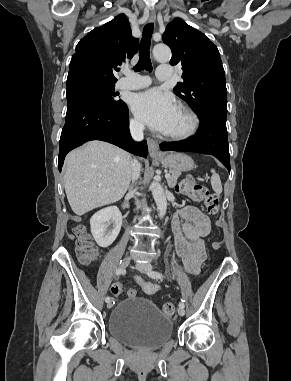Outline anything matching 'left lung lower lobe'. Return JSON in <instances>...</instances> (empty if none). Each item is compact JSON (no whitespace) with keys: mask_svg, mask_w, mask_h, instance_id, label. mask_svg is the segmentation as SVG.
<instances>
[{"mask_svg":"<svg viewBox=\"0 0 291 381\" xmlns=\"http://www.w3.org/2000/svg\"><path fill=\"white\" fill-rule=\"evenodd\" d=\"M160 148L162 151H188L213 155L230 172L226 116L205 115L200 118V128L194 136L179 142H164Z\"/></svg>","mask_w":291,"mask_h":381,"instance_id":"0a47b994","label":"left lung lower lobe"}]
</instances>
